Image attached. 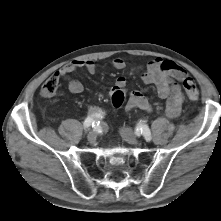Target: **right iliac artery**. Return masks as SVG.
<instances>
[{
  "label": "right iliac artery",
  "mask_w": 221,
  "mask_h": 221,
  "mask_svg": "<svg viewBox=\"0 0 221 221\" xmlns=\"http://www.w3.org/2000/svg\"><path fill=\"white\" fill-rule=\"evenodd\" d=\"M102 116L100 115V114H98V113H96V114H92L91 116H88L86 119H85V121H84V123H83V125H84V128H89V127H94V126H96V125H98L99 124V118H101Z\"/></svg>",
  "instance_id": "obj_1"
}]
</instances>
